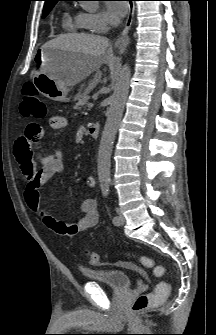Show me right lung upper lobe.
<instances>
[{"mask_svg": "<svg viewBox=\"0 0 216 335\" xmlns=\"http://www.w3.org/2000/svg\"><path fill=\"white\" fill-rule=\"evenodd\" d=\"M44 1H45V5L44 6H47V5L55 4L59 0H44Z\"/></svg>", "mask_w": 216, "mask_h": 335, "instance_id": "right-lung-upper-lobe-1", "label": "right lung upper lobe"}]
</instances>
